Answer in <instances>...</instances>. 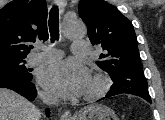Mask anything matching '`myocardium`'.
<instances>
[{"label":"myocardium","mask_w":165,"mask_h":120,"mask_svg":"<svg viewBox=\"0 0 165 120\" xmlns=\"http://www.w3.org/2000/svg\"><path fill=\"white\" fill-rule=\"evenodd\" d=\"M92 79L96 83V87L93 91L84 94L83 99L85 101H94L104 96L111 87L110 77L103 72H95Z\"/></svg>","instance_id":"f54148a6"}]
</instances>
